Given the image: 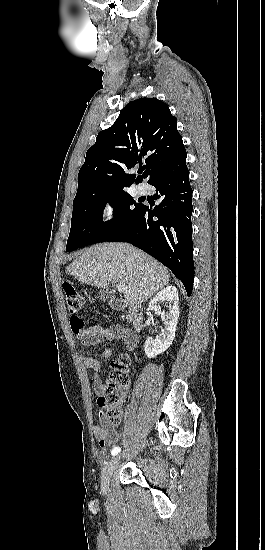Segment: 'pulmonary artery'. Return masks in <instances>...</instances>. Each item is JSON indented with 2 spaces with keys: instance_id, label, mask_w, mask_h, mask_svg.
<instances>
[{
  "instance_id": "obj_1",
  "label": "pulmonary artery",
  "mask_w": 265,
  "mask_h": 550,
  "mask_svg": "<svg viewBox=\"0 0 265 550\" xmlns=\"http://www.w3.org/2000/svg\"><path fill=\"white\" fill-rule=\"evenodd\" d=\"M137 193L140 194V195H143L147 192V188L144 184H139L137 185Z\"/></svg>"
}]
</instances>
